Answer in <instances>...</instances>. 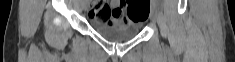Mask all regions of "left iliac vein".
Here are the masks:
<instances>
[{
	"instance_id": "1",
	"label": "left iliac vein",
	"mask_w": 235,
	"mask_h": 62,
	"mask_svg": "<svg viewBox=\"0 0 235 62\" xmlns=\"http://www.w3.org/2000/svg\"><path fill=\"white\" fill-rule=\"evenodd\" d=\"M150 19H151V21H152L153 23H155L156 20H157V10H156L155 5H153V6L151 7Z\"/></svg>"
}]
</instances>
